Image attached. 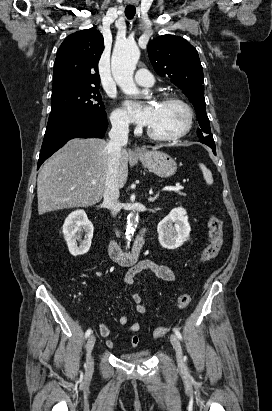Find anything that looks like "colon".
<instances>
[{"mask_svg":"<svg viewBox=\"0 0 272 411\" xmlns=\"http://www.w3.org/2000/svg\"><path fill=\"white\" fill-rule=\"evenodd\" d=\"M209 229V244L203 250L200 261L207 262L216 258L223 245V223L221 219L216 216H210L208 220ZM191 302V295L189 293H183L178 297L177 306L179 309H185ZM169 331V327L160 326L153 330V336L155 338H161L165 336Z\"/></svg>","mask_w":272,"mask_h":411,"instance_id":"1","label":"colon"}]
</instances>
